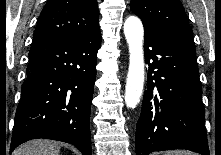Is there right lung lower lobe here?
I'll list each match as a JSON object with an SVG mask.
<instances>
[{"label":"right lung lower lobe","mask_w":221,"mask_h":155,"mask_svg":"<svg viewBox=\"0 0 221 155\" xmlns=\"http://www.w3.org/2000/svg\"><path fill=\"white\" fill-rule=\"evenodd\" d=\"M100 44V29L34 41L10 152L27 140L47 138L67 142L83 155H91L90 108Z\"/></svg>","instance_id":"obj_1"}]
</instances>
